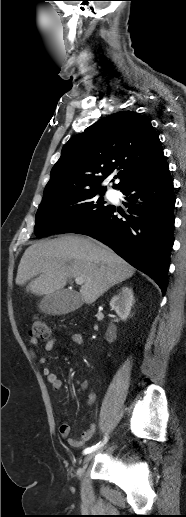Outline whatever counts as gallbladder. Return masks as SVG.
<instances>
[{
	"label": "gallbladder",
	"instance_id": "obj_1",
	"mask_svg": "<svg viewBox=\"0 0 186 517\" xmlns=\"http://www.w3.org/2000/svg\"><path fill=\"white\" fill-rule=\"evenodd\" d=\"M82 305L81 296L70 290H59L46 295L39 303L42 312L51 315L69 313Z\"/></svg>",
	"mask_w": 186,
	"mask_h": 517
}]
</instances>
